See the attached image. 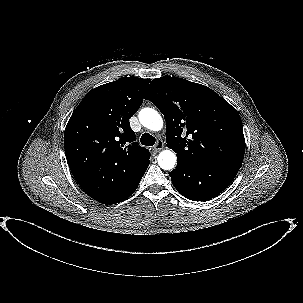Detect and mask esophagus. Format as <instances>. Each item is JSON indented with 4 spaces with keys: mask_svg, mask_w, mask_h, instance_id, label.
I'll return each instance as SVG.
<instances>
[{
    "mask_svg": "<svg viewBox=\"0 0 303 303\" xmlns=\"http://www.w3.org/2000/svg\"><path fill=\"white\" fill-rule=\"evenodd\" d=\"M163 148V142L162 140H158L156 145L153 147V151L155 153L159 152Z\"/></svg>",
    "mask_w": 303,
    "mask_h": 303,
    "instance_id": "esophagus-1",
    "label": "esophagus"
}]
</instances>
